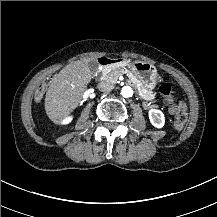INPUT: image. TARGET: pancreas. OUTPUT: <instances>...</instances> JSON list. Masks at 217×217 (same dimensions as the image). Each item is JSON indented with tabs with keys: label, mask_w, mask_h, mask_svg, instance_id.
<instances>
[{
	"label": "pancreas",
	"mask_w": 217,
	"mask_h": 217,
	"mask_svg": "<svg viewBox=\"0 0 217 217\" xmlns=\"http://www.w3.org/2000/svg\"><path fill=\"white\" fill-rule=\"evenodd\" d=\"M123 72H124L123 68H115L111 71L104 70L102 73L104 77H107V79L115 83L118 77ZM127 76L132 81V83H134L139 88V94L142 95L143 99H148L151 101L157 100V95L152 90H148L147 88H144L142 84L140 83V81L131 72L128 71Z\"/></svg>",
	"instance_id": "1"
}]
</instances>
